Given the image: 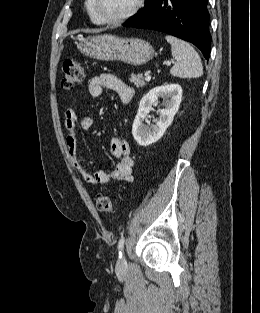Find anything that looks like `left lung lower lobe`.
Returning <instances> with one entry per match:
<instances>
[{
    "label": "left lung lower lobe",
    "mask_w": 260,
    "mask_h": 313,
    "mask_svg": "<svg viewBox=\"0 0 260 313\" xmlns=\"http://www.w3.org/2000/svg\"><path fill=\"white\" fill-rule=\"evenodd\" d=\"M208 0H149L126 27L152 29L193 43L209 58Z\"/></svg>",
    "instance_id": "0a47b994"
}]
</instances>
